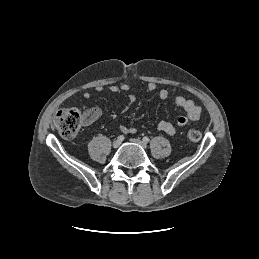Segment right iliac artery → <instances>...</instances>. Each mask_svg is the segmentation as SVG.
I'll return each mask as SVG.
<instances>
[{
  "label": "right iliac artery",
  "mask_w": 259,
  "mask_h": 259,
  "mask_svg": "<svg viewBox=\"0 0 259 259\" xmlns=\"http://www.w3.org/2000/svg\"><path fill=\"white\" fill-rule=\"evenodd\" d=\"M117 139H118L120 142H122V141L125 139V137H124L123 135H119Z\"/></svg>",
  "instance_id": "82829eb1"
}]
</instances>
